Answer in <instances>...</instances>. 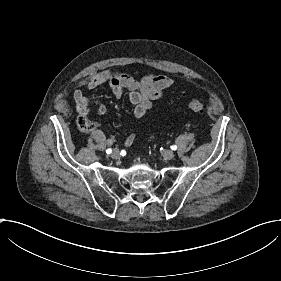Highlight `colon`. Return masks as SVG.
I'll list each match as a JSON object with an SVG mask.
<instances>
[{"mask_svg": "<svg viewBox=\"0 0 281 281\" xmlns=\"http://www.w3.org/2000/svg\"><path fill=\"white\" fill-rule=\"evenodd\" d=\"M189 109L194 113H203L206 110V103L202 99H192L189 101ZM79 127L83 130L89 128V123L87 121H81Z\"/></svg>", "mask_w": 281, "mask_h": 281, "instance_id": "obj_1", "label": "colon"}]
</instances>
